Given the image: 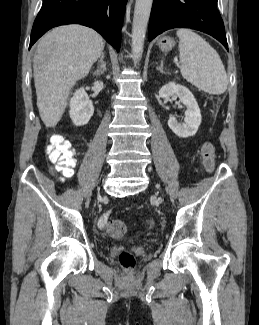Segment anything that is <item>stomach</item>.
Masks as SVG:
<instances>
[{
	"instance_id": "obj_1",
	"label": "stomach",
	"mask_w": 259,
	"mask_h": 325,
	"mask_svg": "<svg viewBox=\"0 0 259 325\" xmlns=\"http://www.w3.org/2000/svg\"><path fill=\"white\" fill-rule=\"evenodd\" d=\"M175 43L171 37L164 36L158 41V46L163 52H168L174 47Z\"/></svg>"
}]
</instances>
